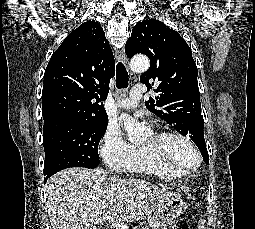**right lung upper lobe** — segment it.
Masks as SVG:
<instances>
[{"label": "right lung upper lobe", "instance_id": "1", "mask_svg": "<svg viewBox=\"0 0 255 229\" xmlns=\"http://www.w3.org/2000/svg\"><path fill=\"white\" fill-rule=\"evenodd\" d=\"M115 74V61L102 27L87 21L53 53L44 73V122L108 119L102 101Z\"/></svg>", "mask_w": 255, "mask_h": 229}]
</instances>
